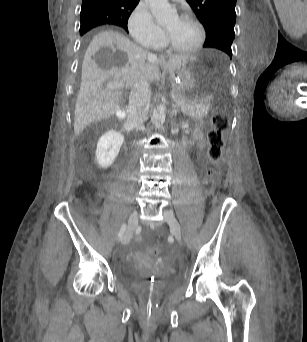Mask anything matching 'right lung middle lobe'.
<instances>
[{"mask_svg": "<svg viewBox=\"0 0 307 342\" xmlns=\"http://www.w3.org/2000/svg\"><path fill=\"white\" fill-rule=\"evenodd\" d=\"M115 21V16L102 11H81L80 13V34L83 35L90 29L104 25V24H111Z\"/></svg>", "mask_w": 307, "mask_h": 342, "instance_id": "1", "label": "right lung middle lobe"}]
</instances>
